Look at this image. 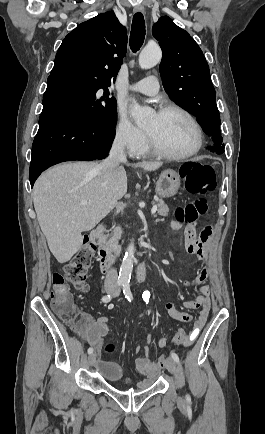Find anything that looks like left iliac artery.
I'll return each mask as SVG.
<instances>
[{
    "label": "left iliac artery",
    "instance_id": "left-iliac-artery-1",
    "mask_svg": "<svg viewBox=\"0 0 265 434\" xmlns=\"http://www.w3.org/2000/svg\"><path fill=\"white\" fill-rule=\"evenodd\" d=\"M123 293H124V295H125V298H126L128 301L131 302V301L133 300V296H132V293H131V290H130V284H129V282H125V283H124V285H123ZM171 357L174 359V361H175L176 363H178V364L180 363L179 357H178V355H177L176 353L171 352ZM186 399H187L188 401L191 400V398H190L189 395L186 396Z\"/></svg>",
    "mask_w": 265,
    "mask_h": 434
}]
</instances>
